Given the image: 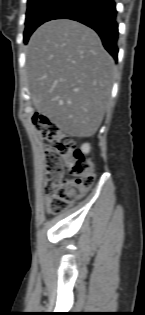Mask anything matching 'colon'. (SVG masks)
I'll list each match as a JSON object with an SVG mask.
<instances>
[{
  "mask_svg": "<svg viewBox=\"0 0 145 315\" xmlns=\"http://www.w3.org/2000/svg\"><path fill=\"white\" fill-rule=\"evenodd\" d=\"M33 124L46 143L44 191L56 212L67 209L93 183L95 166L87 160L73 138L46 116H34ZM70 174L74 179H66Z\"/></svg>",
  "mask_w": 145,
  "mask_h": 315,
  "instance_id": "colon-1",
  "label": "colon"
}]
</instances>
